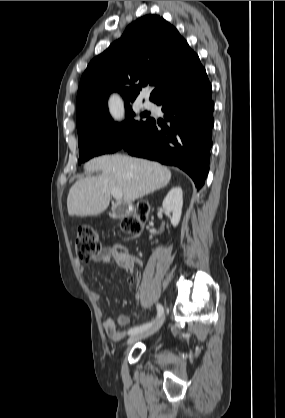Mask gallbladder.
<instances>
[{"mask_svg": "<svg viewBox=\"0 0 285 418\" xmlns=\"http://www.w3.org/2000/svg\"><path fill=\"white\" fill-rule=\"evenodd\" d=\"M126 208V205H119L112 209V212L110 213V216L113 218H120L124 215V210Z\"/></svg>", "mask_w": 285, "mask_h": 418, "instance_id": "gallbladder-1", "label": "gallbladder"}]
</instances>
